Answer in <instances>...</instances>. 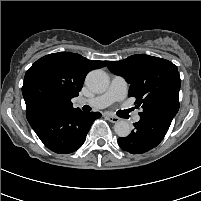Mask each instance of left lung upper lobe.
<instances>
[{
	"label": "left lung upper lobe",
	"mask_w": 201,
	"mask_h": 201,
	"mask_svg": "<svg viewBox=\"0 0 201 201\" xmlns=\"http://www.w3.org/2000/svg\"><path fill=\"white\" fill-rule=\"evenodd\" d=\"M109 70L130 83L129 96L141 107L140 118L172 120L179 110L181 79L172 62L149 55H132L121 61H106Z\"/></svg>",
	"instance_id": "left-lung-upper-lobe-1"
}]
</instances>
